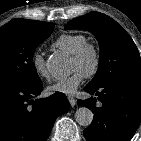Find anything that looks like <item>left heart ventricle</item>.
Masks as SVG:
<instances>
[{"label":"left heart ventricle","instance_id":"b2bd125f","mask_svg":"<svg viewBox=\"0 0 141 141\" xmlns=\"http://www.w3.org/2000/svg\"><path fill=\"white\" fill-rule=\"evenodd\" d=\"M91 65V58L88 56L83 61L78 62L74 59L71 61V69L73 71H80L81 73H85V71L90 67Z\"/></svg>","mask_w":141,"mask_h":141}]
</instances>
